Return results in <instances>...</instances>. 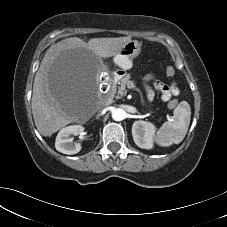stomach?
I'll list each match as a JSON object with an SVG mask.
<instances>
[{
    "label": "stomach",
    "mask_w": 227,
    "mask_h": 227,
    "mask_svg": "<svg viewBox=\"0 0 227 227\" xmlns=\"http://www.w3.org/2000/svg\"><path fill=\"white\" fill-rule=\"evenodd\" d=\"M141 52V44L137 40L127 42L114 57V63L123 70L133 66V59Z\"/></svg>",
    "instance_id": "obj_1"
}]
</instances>
